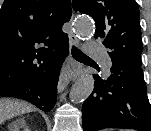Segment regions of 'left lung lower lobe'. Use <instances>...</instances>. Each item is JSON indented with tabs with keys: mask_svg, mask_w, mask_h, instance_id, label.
<instances>
[{
	"mask_svg": "<svg viewBox=\"0 0 151 131\" xmlns=\"http://www.w3.org/2000/svg\"><path fill=\"white\" fill-rule=\"evenodd\" d=\"M94 79V90L82 107L84 131L106 128L151 131V105L141 67L112 65L107 81L97 74Z\"/></svg>",
	"mask_w": 151,
	"mask_h": 131,
	"instance_id": "0a47b994",
	"label": "left lung lower lobe"
}]
</instances>
